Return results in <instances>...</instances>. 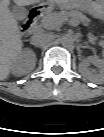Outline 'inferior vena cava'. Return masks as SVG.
<instances>
[{
    "label": "inferior vena cava",
    "mask_w": 104,
    "mask_h": 137,
    "mask_svg": "<svg viewBox=\"0 0 104 137\" xmlns=\"http://www.w3.org/2000/svg\"><path fill=\"white\" fill-rule=\"evenodd\" d=\"M48 40V36L45 33L37 32L31 38V43L36 47L43 46Z\"/></svg>",
    "instance_id": "inferior-vena-cava-1"
}]
</instances>
